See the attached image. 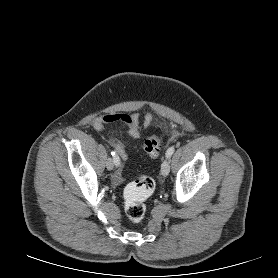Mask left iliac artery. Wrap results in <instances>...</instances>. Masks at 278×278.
<instances>
[{
  "label": "left iliac artery",
  "mask_w": 278,
  "mask_h": 278,
  "mask_svg": "<svg viewBox=\"0 0 278 278\" xmlns=\"http://www.w3.org/2000/svg\"><path fill=\"white\" fill-rule=\"evenodd\" d=\"M174 151H175L174 146L169 147L168 150H167V152H166V157H167V158L171 157L172 154L174 153Z\"/></svg>",
  "instance_id": "obj_1"
}]
</instances>
